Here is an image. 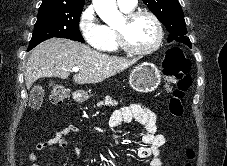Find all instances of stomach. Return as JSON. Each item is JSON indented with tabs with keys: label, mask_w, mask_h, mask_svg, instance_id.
I'll return each instance as SVG.
<instances>
[{
	"label": "stomach",
	"mask_w": 227,
	"mask_h": 166,
	"mask_svg": "<svg viewBox=\"0 0 227 166\" xmlns=\"http://www.w3.org/2000/svg\"><path fill=\"white\" fill-rule=\"evenodd\" d=\"M161 81V72L153 64L144 62L131 72L129 83L130 86L138 92L148 93L154 91ZM75 98L79 101H84L89 98L84 91H79L75 94Z\"/></svg>",
	"instance_id": "0dacf381"
}]
</instances>
